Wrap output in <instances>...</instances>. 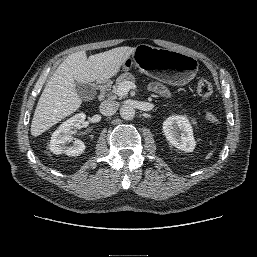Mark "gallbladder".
I'll list each match as a JSON object with an SVG mask.
<instances>
[{"label":"gallbladder","mask_w":257,"mask_h":257,"mask_svg":"<svg viewBox=\"0 0 257 257\" xmlns=\"http://www.w3.org/2000/svg\"><path fill=\"white\" fill-rule=\"evenodd\" d=\"M76 91L79 97L84 101L93 99L96 95L95 87L92 84H83L76 82Z\"/></svg>","instance_id":"gallbladder-1"}]
</instances>
